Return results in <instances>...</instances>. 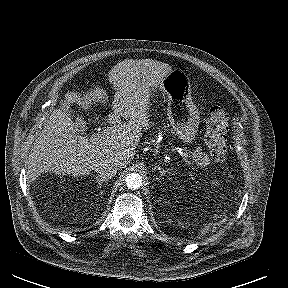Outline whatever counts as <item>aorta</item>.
Listing matches in <instances>:
<instances>
[{
  "mask_svg": "<svg viewBox=\"0 0 288 288\" xmlns=\"http://www.w3.org/2000/svg\"><path fill=\"white\" fill-rule=\"evenodd\" d=\"M142 176L138 173H130L125 179L126 186L131 190L139 189L142 186Z\"/></svg>",
  "mask_w": 288,
  "mask_h": 288,
  "instance_id": "762f6f07",
  "label": "aorta"
}]
</instances>
